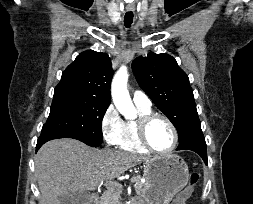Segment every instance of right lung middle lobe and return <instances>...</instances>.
<instances>
[{
  "mask_svg": "<svg viewBox=\"0 0 253 204\" xmlns=\"http://www.w3.org/2000/svg\"><path fill=\"white\" fill-rule=\"evenodd\" d=\"M108 106L72 90L55 89L50 114L41 134L74 138L87 145L99 146L102 143V119Z\"/></svg>",
  "mask_w": 253,
  "mask_h": 204,
  "instance_id": "1",
  "label": "right lung middle lobe"
}]
</instances>
